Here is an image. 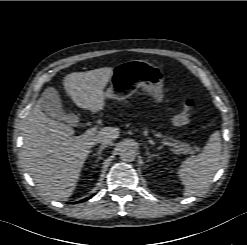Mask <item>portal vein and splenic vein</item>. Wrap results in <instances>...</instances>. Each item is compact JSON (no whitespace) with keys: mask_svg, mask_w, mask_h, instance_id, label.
Here are the masks:
<instances>
[{"mask_svg":"<svg viewBox=\"0 0 247 245\" xmlns=\"http://www.w3.org/2000/svg\"><path fill=\"white\" fill-rule=\"evenodd\" d=\"M96 132H97V128H90V129H88V130H86V132H85V136L86 137H90V136H94L95 134H96ZM160 141V143L162 144V145H165V146H173V144H171V143H169V142H167V141H164V140H159ZM195 150H197V151H199L200 150V148H198V147H193Z\"/></svg>","mask_w":247,"mask_h":245,"instance_id":"portal-vein-and-splenic-vein-1","label":"portal vein and splenic vein"}]
</instances>
